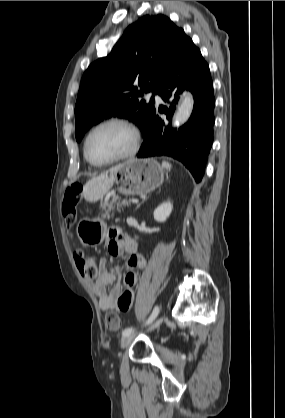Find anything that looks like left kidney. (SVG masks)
Here are the masks:
<instances>
[{
    "mask_svg": "<svg viewBox=\"0 0 285 418\" xmlns=\"http://www.w3.org/2000/svg\"><path fill=\"white\" fill-rule=\"evenodd\" d=\"M173 209V205L171 202H164L160 204L155 210H154V219L157 222H165L167 218L170 216Z\"/></svg>",
    "mask_w": 285,
    "mask_h": 418,
    "instance_id": "obj_1",
    "label": "left kidney"
}]
</instances>
